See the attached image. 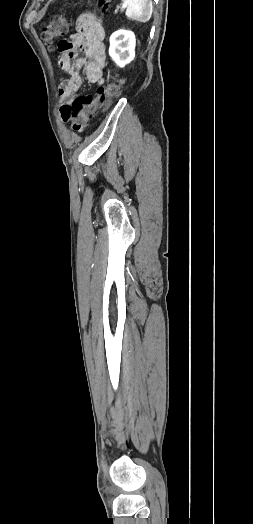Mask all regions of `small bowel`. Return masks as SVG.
I'll return each mask as SVG.
<instances>
[{
  "label": "small bowel",
  "instance_id": "1",
  "mask_svg": "<svg viewBox=\"0 0 253 524\" xmlns=\"http://www.w3.org/2000/svg\"><path fill=\"white\" fill-rule=\"evenodd\" d=\"M104 36L105 31L99 20L94 15L85 13L77 18L73 36L75 42L71 35L59 38L60 43L56 46L59 52L57 62L69 74L59 89L60 101L63 105L73 102L82 85L83 73L89 82L97 85L102 83L105 67ZM78 49L84 52L88 59L76 58L75 52ZM100 111L103 116H106L111 111L110 104H101Z\"/></svg>",
  "mask_w": 253,
  "mask_h": 524
}]
</instances>
